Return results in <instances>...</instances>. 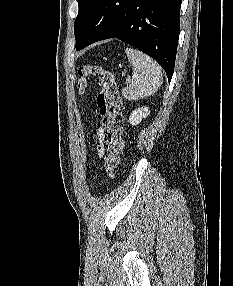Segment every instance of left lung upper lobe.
I'll list each match as a JSON object with an SVG mask.
<instances>
[{
  "instance_id": "left-lung-upper-lobe-1",
  "label": "left lung upper lobe",
  "mask_w": 233,
  "mask_h": 286,
  "mask_svg": "<svg viewBox=\"0 0 233 286\" xmlns=\"http://www.w3.org/2000/svg\"><path fill=\"white\" fill-rule=\"evenodd\" d=\"M98 1L99 0H78L79 12L74 23V34L76 39L80 36L82 30L86 26Z\"/></svg>"
}]
</instances>
